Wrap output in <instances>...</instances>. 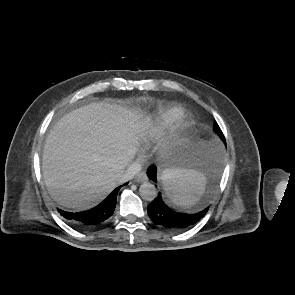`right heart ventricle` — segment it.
Segmentation results:
<instances>
[{"label":"right heart ventricle","instance_id":"1","mask_svg":"<svg viewBox=\"0 0 295 295\" xmlns=\"http://www.w3.org/2000/svg\"><path fill=\"white\" fill-rule=\"evenodd\" d=\"M182 115L183 110L179 107H169L156 113L152 118L147 120L142 127V141L145 144L153 142Z\"/></svg>","mask_w":295,"mask_h":295}]
</instances>
